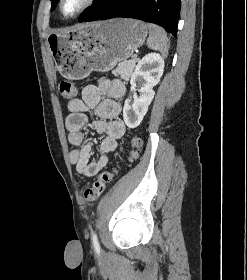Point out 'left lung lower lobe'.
<instances>
[{"mask_svg":"<svg viewBox=\"0 0 247 280\" xmlns=\"http://www.w3.org/2000/svg\"><path fill=\"white\" fill-rule=\"evenodd\" d=\"M180 9V0H108L79 22L129 17L158 24L176 37Z\"/></svg>","mask_w":247,"mask_h":280,"instance_id":"0a47b994","label":"left lung lower lobe"}]
</instances>
